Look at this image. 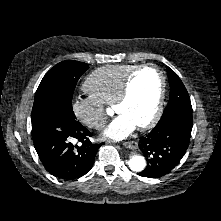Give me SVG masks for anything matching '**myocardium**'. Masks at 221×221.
<instances>
[{
    "mask_svg": "<svg viewBox=\"0 0 221 221\" xmlns=\"http://www.w3.org/2000/svg\"><path fill=\"white\" fill-rule=\"evenodd\" d=\"M148 68L155 69L158 72V74L160 75L161 89H160L159 98H158L156 109H155L153 116L146 123L137 126V128L141 131H144V130L154 127L157 124V122L159 121V119L163 113L164 102H165V97H166V90H167V77H166L165 73L163 72V70L158 65L153 64V63H147V64L137 66L126 77L123 87H122V90H121L117 100L114 103V110L117 112V109L128 100V98L131 94V86H132V82H133L135 76L139 72H141L142 70H145Z\"/></svg>",
    "mask_w": 221,
    "mask_h": 221,
    "instance_id": "myocardium-1",
    "label": "myocardium"
}]
</instances>
